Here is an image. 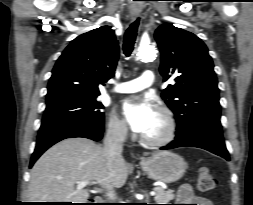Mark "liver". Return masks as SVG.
Returning <instances> with one entry per match:
<instances>
[{
  "instance_id": "obj_1",
  "label": "liver",
  "mask_w": 253,
  "mask_h": 205,
  "mask_svg": "<svg viewBox=\"0 0 253 205\" xmlns=\"http://www.w3.org/2000/svg\"><path fill=\"white\" fill-rule=\"evenodd\" d=\"M127 177L128 167L122 156L109 163L102 146L86 138H69L52 146L34 164L29 199L85 203L90 194L87 189L75 188L78 182L121 188Z\"/></svg>"
}]
</instances>
